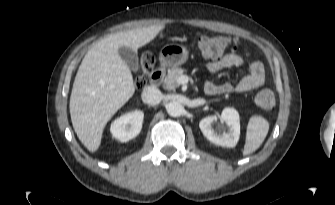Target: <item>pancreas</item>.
<instances>
[{"mask_svg": "<svg viewBox=\"0 0 335 205\" xmlns=\"http://www.w3.org/2000/svg\"><path fill=\"white\" fill-rule=\"evenodd\" d=\"M185 70L178 67L168 69L167 76L164 79V88L168 90H175L179 85V78L183 76Z\"/></svg>", "mask_w": 335, "mask_h": 205, "instance_id": "obj_1", "label": "pancreas"}]
</instances>
